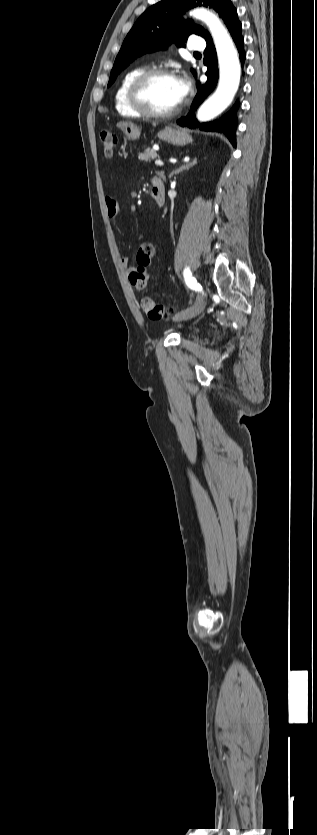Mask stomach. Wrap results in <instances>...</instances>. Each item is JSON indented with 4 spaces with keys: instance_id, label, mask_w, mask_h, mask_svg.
Here are the masks:
<instances>
[{
    "instance_id": "0dacf381",
    "label": "stomach",
    "mask_w": 317,
    "mask_h": 835,
    "mask_svg": "<svg viewBox=\"0 0 317 835\" xmlns=\"http://www.w3.org/2000/svg\"><path fill=\"white\" fill-rule=\"evenodd\" d=\"M129 139L136 140L140 137L141 128L131 122H118L116 125ZM157 136L160 140L177 146H184L192 142V136L187 130L166 126L159 131Z\"/></svg>"
}]
</instances>
